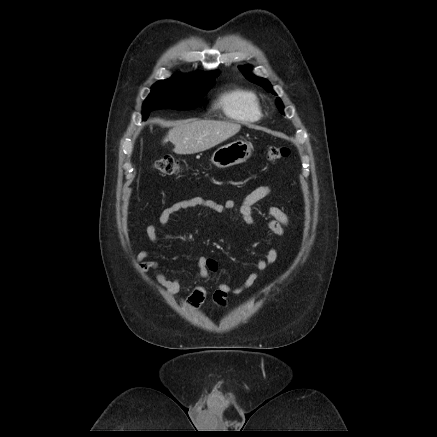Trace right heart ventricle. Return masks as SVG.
<instances>
[{
  "instance_id": "e07e8e85",
  "label": "right heart ventricle",
  "mask_w": 437,
  "mask_h": 437,
  "mask_svg": "<svg viewBox=\"0 0 437 437\" xmlns=\"http://www.w3.org/2000/svg\"><path fill=\"white\" fill-rule=\"evenodd\" d=\"M218 105L228 118L240 123H254L262 117L259 98L250 90H229L219 97Z\"/></svg>"
}]
</instances>
